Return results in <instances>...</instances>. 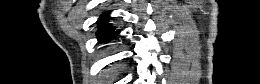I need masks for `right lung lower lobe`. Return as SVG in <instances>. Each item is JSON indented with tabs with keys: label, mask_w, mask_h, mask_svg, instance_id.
Segmentation results:
<instances>
[{
	"label": "right lung lower lobe",
	"mask_w": 260,
	"mask_h": 84,
	"mask_svg": "<svg viewBox=\"0 0 260 84\" xmlns=\"http://www.w3.org/2000/svg\"><path fill=\"white\" fill-rule=\"evenodd\" d=\"M108 20L109 16L107 13H105L98 21L101 25L97 32V38L101 43H107L118 35V31H115L114 28L107 23Z\"/></svg>",
	"instance_id": "1"
}]
</instances>
